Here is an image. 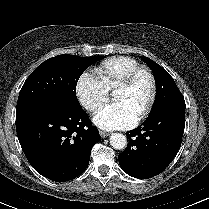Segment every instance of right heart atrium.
I'll list each match as a JSON object with an SVG mask.
<instances>
[{"label": "right heart atrium", "mask_w": 209, "mask_h": 209, "mask_svg": "<svg viewBox=\"0 0 209 209\" xmlns=\"http://www.w3.org/2000/svg\"><path fill=\"white\" fill-rule=\"evenodd\" d=\"M76 95L83 107L94 113L107 102L109 90L99 77L90 72H84L76 83Z\"/></svg>", "instance_id": "obj_1"}]
</instances>
